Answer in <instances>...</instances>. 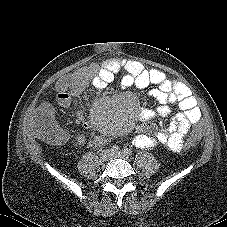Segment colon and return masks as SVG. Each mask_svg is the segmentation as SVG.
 I'll list each match as a JSON object with an SVG mask.
<instances>
[{
    "instance_id": "obj_1",
    "label": "colon",
    "mask_w": 227,
    "mask_h": 227,
    "mask_svg": "<svg viewBox=\"0 0 227 227\" xmlns=\"http://www.w3.org/2000/svg\"><path fill=\"white\" fill-rule=\"evenodd\" d=\"M38 133L44 142L51 145L62 144L66 139L63 129L56 123H47L39 126ZM183 143L187 150H194L199 146L200 140L195 135H188L184 138Z\"/></svg>"
}]
</instances>
